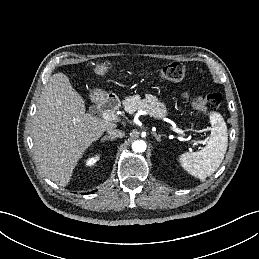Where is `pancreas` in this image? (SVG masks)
<instances>
[{
  "label": "pancreas",
  "mask_w": 259,
  "mask_h": 259,
  "mask_svg": "<svg viewBox=\"0 0 259 259\" xmlns=\"http://www.w3.org/2000/svg\"><path fill=\"white\" fill-rule=\"evenodd\" d=\"M123 106L129 114L137 110H144L154 118H163L167 114L164 103L153 95H147L144 99H141L139 95L129 96L123 100Z\"/></svg>",
  "instance_id": "1"
}]
</instances>
